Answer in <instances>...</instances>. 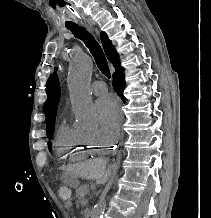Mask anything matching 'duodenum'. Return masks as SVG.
I'll use <instances>...</instances> for the list:
<instances>
[{"mask_svg": "<svg viewBox=\"0 0 211 218\" xmlns=\"http://www.w3.org/2000/svg\"><path fill=\"white\" fill-rule=\"evenodd\" d=\"M83 215L85 218H89L91 215V210L90 209H85L83 212Z\"/></svg>", "mask_w": 211, "mask_h": 218, "instance_id": "410a0bca", "label": "duodenum"}]
</instances>
